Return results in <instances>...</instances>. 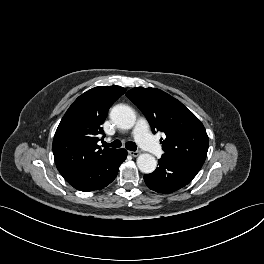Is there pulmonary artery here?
Masks as SVG:
<instances>
[{"instance_id":"1","label":"pulmonary artery","mask_w":264,"mask_h":264,"mask_svg":"<svg viewBox=\"0 0 264 264\" xmlns=\"http://www.w3.org/2000/svg\"><path fill=\"white\" fill-rule=\"evenodd\" d=\"M133 134L138 144L148 152L155 156H160L163 153L161 146L150 134L148 123L145 119L141 118L137 121Z\"/></svg>"}]
</instances>
